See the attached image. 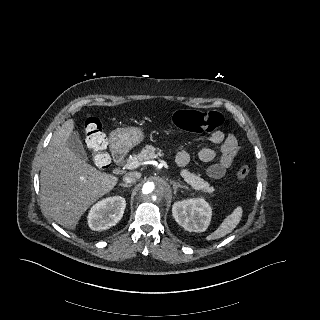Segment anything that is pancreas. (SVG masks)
I'll return each mask as SVG.
<instances>
[{
    "label": "pancreas",
    "mask_w": 320,
    "mask_h": 320,
    "mask_svg": "<svg viewBox=\"0 0 320 320\" xmlns=\"http://www.w3.org/2000/svg\"><path fill=\"white\" fill-rule=\"evenodd\" d=\"M158 156H163V153L159 148H154L152 145H146L140 154L134 155L131 159H129V161L132 162L154 159ZM180 175L188 184L191 185L194 190L209 193L210 195L213 193L214 188L210 186L208 182L204 181L199 175L191 173L187 169H182Z\"/></svg>",
    "instance_id": "pancreas-1"
}]
</instances>
